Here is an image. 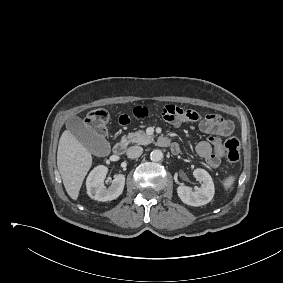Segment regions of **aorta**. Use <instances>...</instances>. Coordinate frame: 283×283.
<instances>
[{"label":"aorta","mask_w":283,"mask_h":283,"mask_svg":"<svg viewBox=\"0 0 283 283\" xmlns=\"http://www.w3.org/2000/svg\"><path fill=\"white\" fill-rule=\"evenodd\" d=\"M150 158L154 162L161 161L163 159V152L159 149H155L151 152Z\"/></svg>","instance_id":"aorta-1"}]
</instances>
